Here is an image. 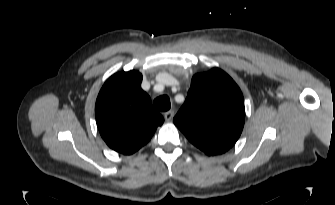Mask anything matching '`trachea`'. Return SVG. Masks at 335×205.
I'll return each instance as SVG.
<instances>
[{
	"label": "trachea",
	"mask_w": 335,
	"mask_h": 205,
	"mask_svg": "<svg viewBox=\"0 0 335 205\" xmlns=\"http://www.w3.org/2000/svg\"><path fill=\"white\" fill-rule=\"evenodd\" d=\"M153 104L156 109L159 111L165 112L168 111L171 107L170 99L166 95H162L157 97L154 101Z\"/></svg>",
	"instance_id": "obj_1"
}]
</instances>
